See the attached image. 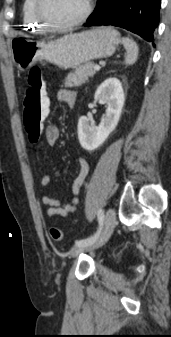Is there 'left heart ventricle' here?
I'll list each match as a JSON object with an SVG mask.
<instances>
[{
  "instance_id": "left-heart-ventricle-1",
  "label": "left heart ventricle",
  "mask_w": 171,
  "mask_h": 337,
  "mask_svg": "<svg viewBox=\"0 0 171 337\" xmlns=\"http://www.w3.org/2000/svg\"><path fill=\"white\" fill-rule=\"evenodd\" d=\"M86 0H46V15L56 23L76 19L85 9Z\"/></svg>"
}]
</instances>
